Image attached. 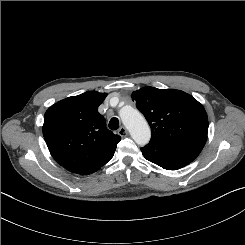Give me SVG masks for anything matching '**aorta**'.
Here are the masks:
<instances>
[{"mask_svg": "<svg viewBox=\"0 0 245 245\" xmlns=\"http://www.w3.org/2000/svg\"><path fill=\"white\" fill-rule=\"evenodd\" d=\"M120 117L138 145L144 146L149 142L150 128L145 118L136 109L127 106L121 110Z\"/></svg>", "mask_w": 245, "mask_h": 245, "instance_id": "aorta-1", "label": "aorta"}]
</instances>
